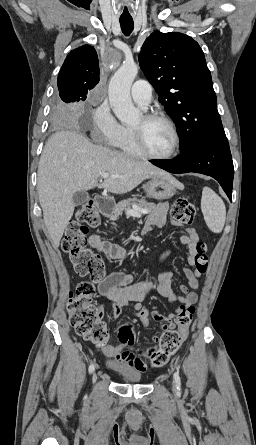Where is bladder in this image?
<instances>
[{
    "label": "bladder",
    "instance_id": "31cf9c89",
    "mask_svg": "<svg viewBox=\"0 0 256 445\" xmlns=\"http://www.w3.org/2000/svg\"><path fill=\"white\" fill-rule=\"evenodd\" d=\"M119 378L126 383H137L141 380V375L137 371H126L119 374Z\"/></svg>",
    "mask_w": 256,
    "mask_h": 445
}]
</instances>
